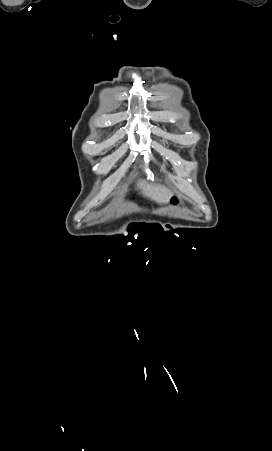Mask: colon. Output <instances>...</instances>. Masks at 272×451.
<instances>
[{
  "instance_id": "colon-1",
  "label": "colon",
  "mask_w": 272,
  "mask_h": 451,
  "mask_svg": "<svg viewBox=\"0 0 272 451\" xmlns=\"http://www.w3.org/2000/svg\"><path fill=\"white\" fill-rule=\"evenodd\" d=\"M172 202H173V203H178L179 200H178L177 198H173V199H172Z\"/></svg>"
}]
</instances>
